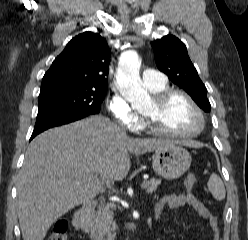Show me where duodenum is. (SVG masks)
<instances>
[{
  "instance_id": "obj_1",
  "label": "duodenum",
  "mask_w": 248,
  "mask_h": 240,
  "mask_svg": "<svg viewBox=\"0 0 248 240\" xmlns=\"http://www.w3.org/2000/svg\"><path fill=\"white\" fill-rule=\"evenodd\" d=\"M95 207L96 201L94 200H88L80 205L74 215V226L76 229L83 231L89 227L90 215Z\"/></svg>"
}]
</instances>
